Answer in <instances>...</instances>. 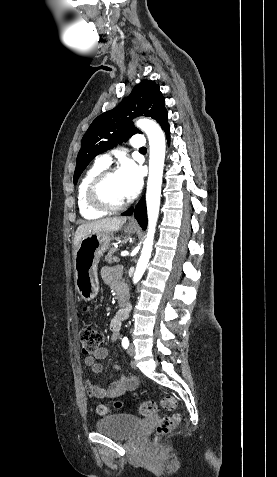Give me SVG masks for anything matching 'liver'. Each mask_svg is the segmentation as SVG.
Instances as JSON below:
<instances>
[{"label": "liver", "mask_w": 277, "mask_h": 477, "mask_svg": "<svg viewBox=\"0 0 277 477\" xmlns=\"http://www.w3.org/2000/svg\"><path fill=\"white\" fill-rule=\"evenodd\" d=\"M126 220V217H113L84 223L80 225L75 232L74 246L76 247L84 237L91 234L98 232L110 233L119 231Z\"/></svg>", "instance_id": "6515ba94"}]
</instances>
